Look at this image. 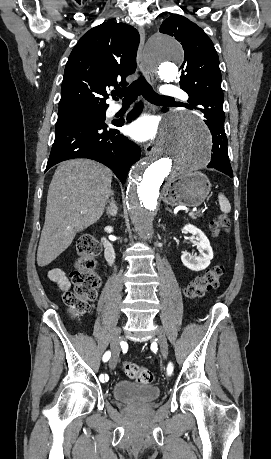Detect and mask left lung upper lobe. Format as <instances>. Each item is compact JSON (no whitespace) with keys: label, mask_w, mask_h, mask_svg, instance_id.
<instances>
[{"label":"left lung upper lobe","mask_w":271,"mask_h":459,"mask_svg":"<svg viewBox=\"0 0 271 459\" xmlns=\"http://www.w3.org/2000/svg\"><path fill=\"white\" fill-rule=\"evenodd\" d=\"M160 32L173 36L182 44L184 62L180 86L189 95L191 107L200 105L198 110L204 115L225 116L219 58L211 39L181 15L168 17L160 26Z\"/></svg>","instance_id":"left-lung-upper-lobe-1"}]
</instances>
